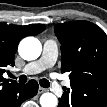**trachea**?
I'll list each match as a JSON object with an SVG mask.
<instances>
[{"label": "trachea", "instance_id": "obj_1", "mask_svg": "<svg viewBox=\"0 0 107 107\" xmlns=\"http://www.w3.org/2000/svg\"><path fill=\"white\" fill-rule=\"evenodd\" d=\"M26 81H27L26 76L21 75L20 78H19V82L20 83H26ZM39 83L44 88H48L50 86V83L47 79H41Z\"/></svg>", "mask_w": 107, "mask_h": 107}]
</instances>
